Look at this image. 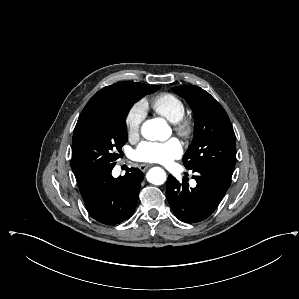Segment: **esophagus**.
<instances>
[{
	"label": "esophagus",
	"instance_id": "1",
	"mask_svg": "<svg viewBox=\"0 0 299 299\" xmlns=\"http://www.w3.org/2000/svg\"><path fill=\"white\" fill-rule=\"evenodd\" d=\"M151 165L149 164H140L139 169L143 172H145Z\"/></svg>",
	"mask_w": 299,
	"mask_h": 299
}]
</instances>
